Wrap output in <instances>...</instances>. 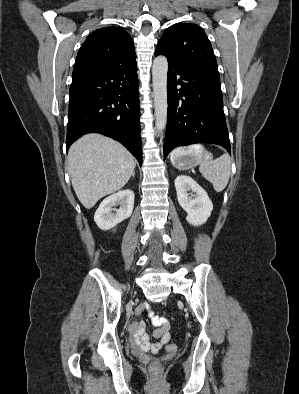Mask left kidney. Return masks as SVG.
Segmentation results:
<instances>
[{
    "label": "left kidney",
    "mask_w": 299,
    "mask_h": 394,
    "mask_svg": "<svg viewBox=\"0 0 299 394\" xmlns=\"http://www.w3.org/2000/svg\"><path fill=\"white\" fill-rule=\"evenodd\" d=\"M175 188L178 202L187 212L188 223L193 226L204 224L213 210V204L206 191L186 175H179L175 179ZM190 190L194 193L191 196L188 194Z\"/></svg>",
    "instance_id": "obj_1"
}]
</instances>
